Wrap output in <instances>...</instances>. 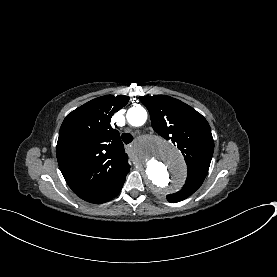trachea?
Here are the masks:
<instances>
[{"label":"trachea","instance_id":"3493384b","mask_svg":"<svg viewBox=\"0 0 277 277\" xmlns=\"http://www.w3.org/2000/svg\"><path fill=\"white\" fill-rule=\"evenodd\" d=\"M134 137L130 133H123L122 140L125 144H129L133 141Z\"/></svg>","mask_w":277,"mask_h":277}]
</instances>
